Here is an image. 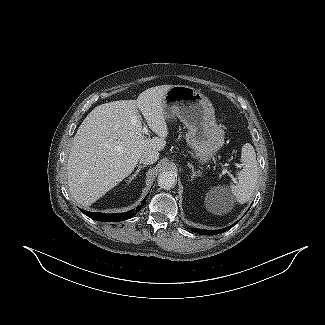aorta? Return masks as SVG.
Here are the masks:
<instances>
[{"mask_svg": "<svg viewBox=\"0 0 325 325\" xmlns=\"http://www.w3.org/2000/svg\"><path fill=\"white\" fill-rule=\"evenodd\" d=\"M157 181L161 188L169 190L176 185L177 177L172 171H163L159 174Z\"/></svg>", "mask_w": 325, "mask_h": 325, "instance_id": "obj_1", "label": "aorta"}]
</instances>
